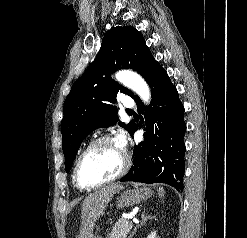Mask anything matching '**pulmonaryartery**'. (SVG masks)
Returning <instances> with one entry per match:
<instances>
[{"label": "pulmonary artery", "instance_id": "obj_1", "mask_svg": "<svg viewBox=\"0 0 247 238\" xmlns=\"http://www.w3.org/2000/svg\"><path fill=\"white\" fill-rule=\"evenodd\" d=\"M122 104L128 110L134 107V101L130 97H124L122 100Z\"/></svg>", "mask_w": 247, "mask_h": 238}]
</instances>
